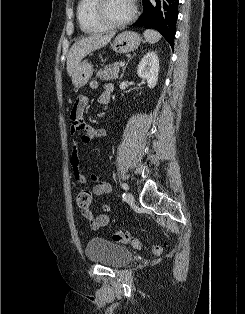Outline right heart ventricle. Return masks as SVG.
<instances>
[{
  "instance_id": "1",
  "label": "right heart ventricle",
  "mask_w": 245,
  "mask_h": 314,
  "mask_svg": "<svg viewBox=\"0 0 245 314\" xmlns=\"http://www.w3.org/2000/svg\"><path fill=\"white\" fill-rule=\"evenodd\" d=\"M95 0H79L77 18L80 28L85 33H98L107 29L94 18L93 7Z\"/></svg>"
}]
</instances>
